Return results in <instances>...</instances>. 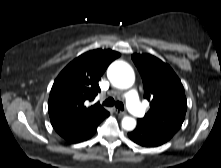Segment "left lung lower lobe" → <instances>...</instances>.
I'll return each mask as SVG.
<instances>
[{
  "label": "left lung lower lobe",
  "instance_id": "0a47b994",
  "mask_svg": "<svg viewBox=\"0 0 221 168\" xmlns=\"http://www.w3.org/2000/svg\"><path fill=\"white\" fill-rule=\"evenodd\" d=\"M128 136L133 142L144 147H157L172 138L168 133L148 126L141 121L137 122V127L134 131L129 132Z\"/></svg>",
  "mask_w": 221,
  "mask_h": 168
}]
</instances>
